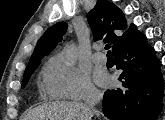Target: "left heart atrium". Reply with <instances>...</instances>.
Instances as JSON below:
<instances>
[{"mask_svg": "<svg viewBox=\"0 0 165 120\" xmlns=\"http://www.w3.org/2000/svg\"><path fill=\"white\" fill-rule=\"evenodd\" d=\"M97 82L102 86H107L110 84V78L104 73H98L96 75Z\"/></svg>", "mask_w": 165, "mask_h": 120, "instance_id": "39dd6f15", "label": "left heart atrium"}]
</instances>
